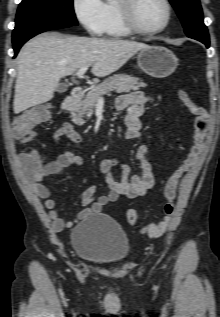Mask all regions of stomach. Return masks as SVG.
Returning a JSON list of instances; mask_svg holds the SVG:
<instances>
[{
  "instance_id": "0dacf381",
  "label": "stomach",
  "mask_w": 220,
  "mask_h": 317,
  "mask_svg": "<svg viewBox=\"0 0 220 317\" xmlns=\"http://www.w3.org/2000/svg\"><path fill=\"white\" fill-rule=\"evenodd\" d=\"M138 66L155 78L171 75L178 66V59L172 51L162 46H148L137 55Z\"/></svg>"
}]
</instances>
